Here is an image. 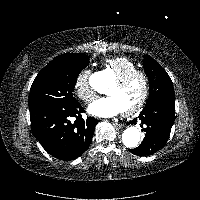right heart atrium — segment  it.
<instances>
[{
	"mask_svg": "<svg viewBox=\"0 0 200 200\" xmlns=\"http://www.w3.org/2000/svg\"><path fill=\"white\" fill-rule=\"evenodd\" d=\"M74 91L79 99L85 103H91L95 98V91L90 83V71L81 70L74 80Z\"/></svg>",
	"mask_w": 200,
	"mask_h": 200,
	"instance_id": "obj_1",
	"label": "right heart atrium"
}]
</instances>
